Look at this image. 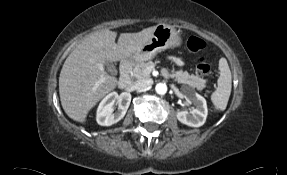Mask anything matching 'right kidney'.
I'll return each instance as SVG.
<instances>
[{"label":"right kidney","mask_w":287,"mask_h":175,"mask_svg":"<svg viewBox=\"0 0 287 175\" xmlns=\"http://www.w3.org/2000/svg\"><path fill=\"white\" fill-rule=\"evenodd\" d=\"M118 103V109L114 112V105ZM131 102V94L123 92L118 95L116 92L109 93L100 102L96 121L102 126H111L114 123L120 121L126 114Z\"/></svg>","instance_id":"ca27d5eb"}]
</instances>
